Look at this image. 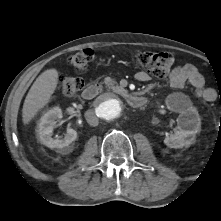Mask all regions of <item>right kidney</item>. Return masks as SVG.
Masks as SVG:
<instances>
[{"mask_svg":"<svg viewBox=\"0 0 221 221\" xmlns=\"http://www.w3.org/2000/svg\"><path fill=\"white\" fill-rule=\"evenodd\" d=\"M62 118V111L59 107H54L47 111L37 125V134L40 142L49 148H64L70 145L77 138V132L68 128L63 138H52L56 120Z\"/></svg>","mask_w":221,"mask_h":221,"instance_id":"ca27d5eb","label":"right kidney"}]
</instances>
